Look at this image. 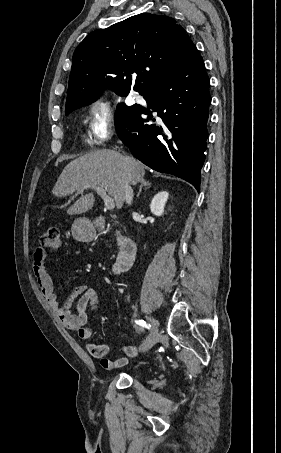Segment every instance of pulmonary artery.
Wrapping results in <instances>:
<instances>
[{"instance_id":"e3ab8cb5","label":"pulmonary artery","mask_w":281,"mask_h":453,"mask_svg":"<svg viewBox=\"0 0 281 453\" xmlns=\"http://www.w3.org/2000/svg\"><path fill=\"white\" fill-rule=\"evenodd\" d=\"M134 99H135L136 102H140V103L146 104V101L143 99V97L138 95V94L134 96Z\"/></svg>"}]
</instances>
